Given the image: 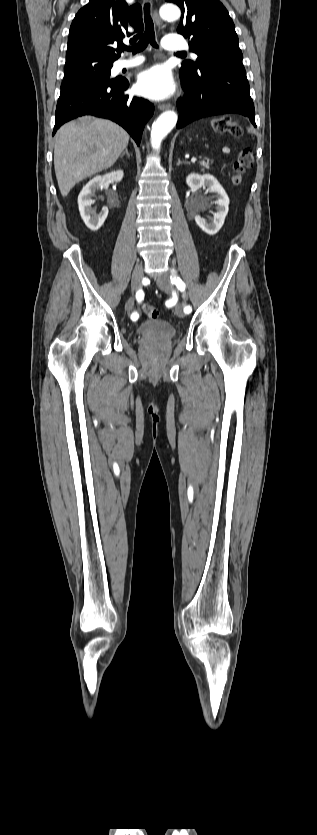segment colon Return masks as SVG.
Segmentation results:
<instances>
[{
  "label": "colon",
  "mask_w": 317,
  "mask_h": 835,
  "mask_svg": "<svg viewBox=\"0 0 317 835\" xmlns=\"http://www.w3.org/2000/svg\"><path fill=\"white\" fill-rule=\"evenodd\" d=\"M211 126L213 131L217 134L227 133L233 137H240L243 134L241 126L237 122L231 121L228 117L213 120ZM253 163L254 151L248 147L243 148L232 167L231 181L235 186L242 183L247 169H249ZM143 311L151 319L157 318L159 315L158 309L152 305H144Z\"/></svg>",
  "instance_id": "colon-1"
}]
</instances>
